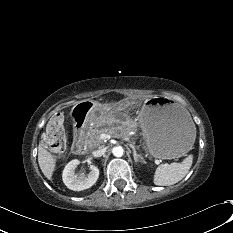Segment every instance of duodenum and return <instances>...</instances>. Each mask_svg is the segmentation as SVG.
Instances as JSON below:
<instances>
[{
	"mask_svg": "<svg viewBox=\"0 0 233 233\" xmlns=\"http://www.w3.org/2000/svg\"><path fill=\"white\" fill-rule=\"evenodd\" d=\"M93 111V106L88 101L78 103L71 111V124L74 127V139L72 149L75 153H80L84 149V126L86 116Z\"/></svg>",
	"mask_w": 233,
	"mask_h": 233,
	"instance_id": "obj_1",
	"label": "duodenum"
}]
</instances>
